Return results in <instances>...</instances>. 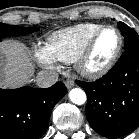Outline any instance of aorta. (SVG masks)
<instances>
[{
    "label": "aorta",
    "mask_w": 139,
    "mask_h": 139,
    "mask_svg": "<svg viewBox=\"0 0 139 139\" xmlns=\"http://www.w3.org/2000/svg\"><path fill=\"white\" fill-rule=\"evenodd\" d=\"M69 99L72 103L76 105H82L86 102V93L81 88H73L69 92Z\"/></svg>",
    "instance_id": "1"
}]
</instances>
